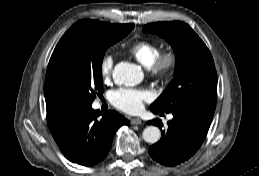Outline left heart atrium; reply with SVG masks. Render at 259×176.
I'll return each instance as SVG.
<instances>
[{"label": "left heart atrium", "instance_id": "1", "mask_svg": "<svg viewBox=\"0 0 259 176\" xmlns=\"http://www.w3.org/2000/svg\"><path fill=\"white\" fill-rule=\"evenodd\" d=\"M151 99L146 89L119 88L111 92L110 101L117 109L135 114L142 110L143 103Z\"/></svg>", "mask_w": 259, "mask_h": 176}]
</instances>
